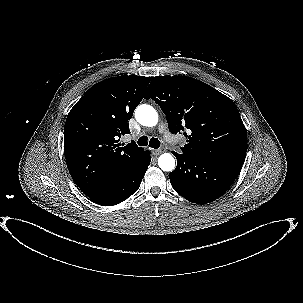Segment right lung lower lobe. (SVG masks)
Here are the masks:
<instances>
[{
	"label": "right lung lower lobe",
	"instance_id": "obj_1",
	"mask_svg": "<svg viewBox=\"0 0 303 303\" xmlns=\"http://www.w3.org/2000/svg\"><path fill=\"white\" fill-rule=\"evenodd\" d=\"M150 162L149 152H146L140 163L125 177L111 187L89 196L90 200L102 206L116 205L126 200L138 190Z\"/></svg>",
	"mask_w": 303,
	"mask_h": 303
}]
</instances>
